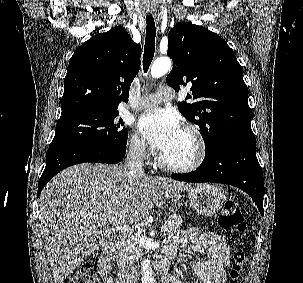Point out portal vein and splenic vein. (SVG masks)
Returning a JSON list of instances; mask_svg holds the SVG:
<instances>
[{"instance_id":"1","label":"portal vein and splenic vein","mask_w":303,"mask_h":283,"mask_svg":"<svg viewBox=\"0 0 303 283\" xmlns=\"http://www.w3.org/2000/svg\"><path fill=\"white\" fill-rule=\"evenodd\" d=\"M110 222H113V218L109 219ZM103 222H106V220H104ZM171 223V221H169V224ZM168 230L167 225L162 226L161 228V232H166Z\"/></svg>"}]
</instances>
